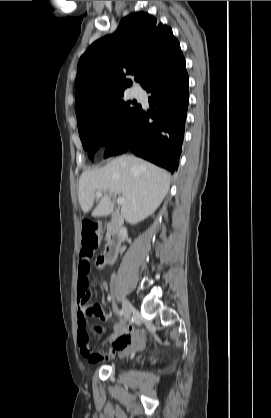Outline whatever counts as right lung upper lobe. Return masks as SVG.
I'll use <instances>...</instances> for the list:
<instances>
[{
    "instance_id": "obj_1",
    "label": "right lung upper lobe",
    "mask_w": 271,
    "mask_h": 418,
    "mask_svg": "<svg viewBox=\"0 0 271 418\" xmlns=\"http://www.w3.org/2000/svg\"><path fill=\"white\" fill-rule=\"evenodd\" d=\"M182 61L180 44L169 27L145 12L128 15L115 34L97 40L81 56L76 77V115L123 94L132 83L127 75L140 76L146 90Z\"/></svg>"
}]
</instances>
